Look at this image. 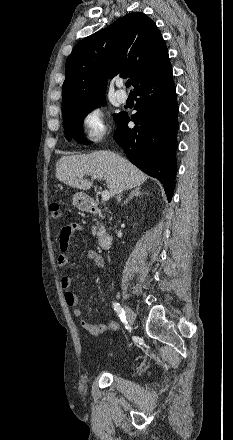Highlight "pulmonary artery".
I'll return each instance as SVG.
<instances>
[{"label":"pulmonary artery","instance_id":"e3ab8cb5","mask_svg":"<svg viewBox=\"0 0 233 440\" xmlns=\"http://www.w3.org/2000/svg\"><path fill=\"white\" fill-rule=\"evenodd\" d=\"M115 95H116L117 100L120 103H125L127 101L128 96H127V94L124 91L117 90Z\"/></svg>","mask_w":233,"mask_h":440}]
</instances>
